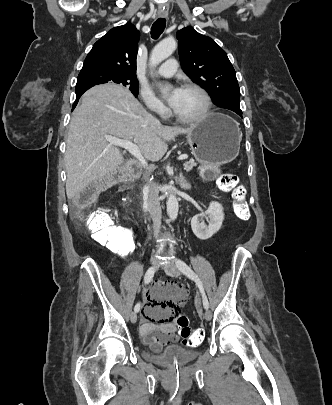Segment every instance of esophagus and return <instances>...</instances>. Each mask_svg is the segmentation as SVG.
<instances>
[{"label":"esophagus","mask_w":332,"mask_h":405,"mask_svg":"<svg viewBox=\"0 0 332 405\" xmlns=\"http://www.w3.org/2000/svg\"><path fill=\"white\" fill-rule=\"evenodd\" d=\"M158 15L160 16V17H166L167 15H168V11L167 10H159L158 11Z\"/></svg>","instance_id":"1"}]
</instances>
